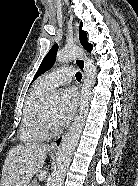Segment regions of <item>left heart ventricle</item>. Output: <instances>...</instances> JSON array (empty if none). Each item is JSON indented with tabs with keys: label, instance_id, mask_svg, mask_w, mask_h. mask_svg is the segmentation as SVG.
Here are the masks:
<instances>
[{
	"label": "left heart ventricle",
	"instance_id": "1",
	"mask_svg": "<svg viewBox=\"0 0 138 186\" xmlns=\"http://www.w3.org/2000/svg\"><path fill=\"white\" fill-rule=\"evenodd\" d=\"M57 104H47L46 105V109H47V117H48V120L50 122V124L53 126V127H59L57 125V122H56V119H55V113L57 111Z\"/></svg>",
	"mask_w": 138,
	"mask_h": 186
}]
</instances>
